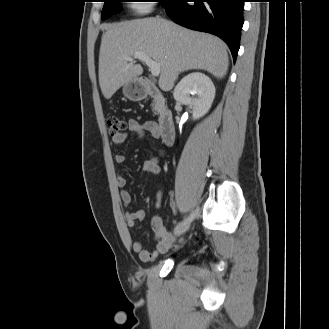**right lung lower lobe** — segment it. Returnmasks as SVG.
I'll return each mask as SVG.
<instances>
[{"instance_id":"right-lung-lower-lobe-1","label":"right lung lower lobe","mask_w":329,"mask_h":329,"mask_svg":"<svg viewBox=\"0 0 329 329\" xmlns=\"http://www.w3.org/2000/svg\"><path fill=\"white\" fill-rule=\"evenodd\" d=\"M244 1L169 0L163 7L175 23L223 39L235 61L240 47Z\"/></svg>"}]
</instances>
